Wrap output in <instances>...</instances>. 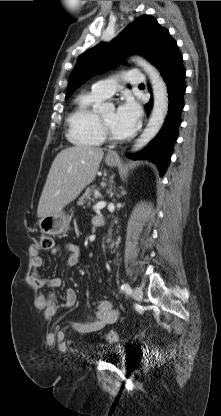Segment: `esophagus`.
Masks as SVG:
<instances>
[{
  "label": "esophagus",
  "mask_w": 221,
  "mask_h": 416,
  "mask_svg": "<svg viewBox=\"0 0 221 416\" xmlns=\"http://www.w3.org/2000/svg\"><path fill=\"white\" fill-rule=\"evenodd\" d=\"M109 158H118V154L117 153H115V152H110V153H108V155H107Z\"/></svg>",
  "instance_id": "obj_1"
}]
</instances>
